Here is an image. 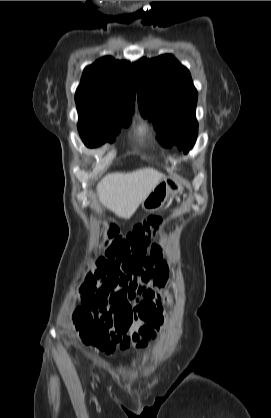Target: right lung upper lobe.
Masks as SVG:
<instances>
[{"label":"right lung upper lobe","mask_w":271,"mask_h":418,"mask_svg":"<svg viewBox=\"0 0 271 418\" xmlns=\"http://www.w3.org/2000/svg\"><path fill=\"white\" fill-rule=\"evenodd\" d=\"M75 101L77 109L98 114H133L135 86L131 64L107 56L86 67Z\"/></svg>","instance_id":"obj_1"}]
</instances>
